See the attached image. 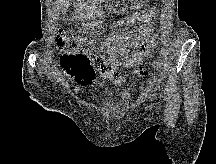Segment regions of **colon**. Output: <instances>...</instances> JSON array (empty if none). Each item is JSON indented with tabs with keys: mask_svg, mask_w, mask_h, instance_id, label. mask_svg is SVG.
<instances>
[{
	"mask_svg": "<svg viewBox=\"0 0 216 164\" xmlns=\"http://www.w3.org/2000/svg\"><path fill=\"white\" fill-rule=\"evenodd\" d=\"M56 43L64 52L60 60L64 71L78 83L91 84L95 78V71L89 58L83 55L91 49V43L63 29L58 31ZM95 65L98 69L105 70V65L100 58H95Z\"/></svg>",
	"mask_w": 216,
	"mask_h": 164,
	"instance_id": "colon-1",
	"label": "colon"
}]
</instances>
